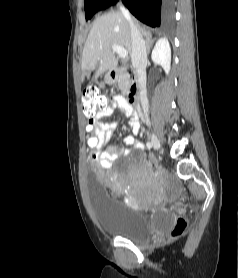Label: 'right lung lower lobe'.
<instances>
[{
  "label": "right lung lower lobe",
  "mask_w": 238,
  "mask_h": 278,
  "mask_svg": "<svg viewBox=\"0 0 238 278\" xmlns=\"http://www.w3.org/2000/svg\"><path fill=\"white\" fill-rule=\"evenodd\" d=\"M118 0H106L100 7L103 10L117 3ZM130 12L143 23L158 27L160 23L170 21L173 0H122Z\"/></svg>",
  "instance_id": "obj_1"
}]
</instances>
